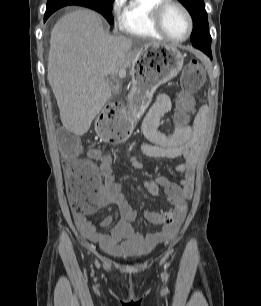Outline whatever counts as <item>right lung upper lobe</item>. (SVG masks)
<instances>
[{
    "instance_id": "1",
    "label": "right lung upper lobe",
    "mask_w": 261,
    "mask_h": 306,
    "mask_svg": "<svg viewBox=\"0 0 261 306\" xmlns=\"http://www.w3.org/2000/svg\"><path fill=\"white\" fill-rule=\"evenodd\" d=\"M48 1H51V0H48ZM67 1H75V0H67Z\"/></svg>"
}]
</instances>
